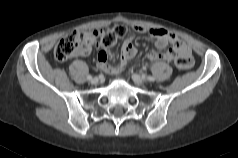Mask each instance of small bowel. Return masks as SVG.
I'll use <instances>...</instances> for the list:
<instances>
[{"label":"small bowel","mask_w":238,"mask_h":158,"mask_svg":"<svg viewBox=\"0 0 238 158\" xmlns=\"http://www.w3.org/2000/svg\"><path fill=\"white\" fill-rule=\"evenodd\" d=\"M136 33H147L149 36L155 39V45L157 50H150L148 52V58L151 61H172L177 57H187L192 59L191 48L181 41L175 34L163 29V28H150L135 27ZM86 38V53H89L91 47L95 45V40L92 33H85ZM137 53V48L133 43L132 37H127L121 47V57L117 64L112 65L108 63L110 52L108 48H102L98 54L97 66L102 71L111 74L118 75L123 71L127 62L133 58Z\"/></svg>","instance_id":"c3829d8e"}]
</instances>
